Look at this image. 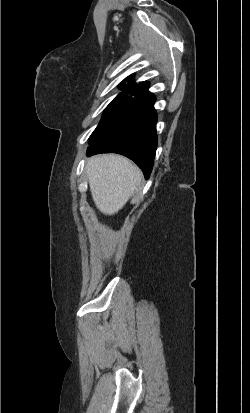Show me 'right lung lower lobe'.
Listing matches in <instances>:
<instances>
[{"label":"right lung lower lobe","mask_w":250,"mask_h":413,"mask_svg":"<svg viewBox=\"0 0 250 413\" xmlns=\"http://www.w3.org/2000/svg\"><path fill=\"white\" fill-rule=\"evenodd\" d=\"M154 101L153 95L134 98L119 121L90 143L87 155L110 152L122 154L133 160L148 179L157 148Z\"/></svg>","instance_id":"obj_1"}]
</instances>
